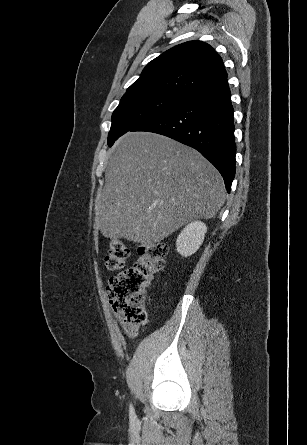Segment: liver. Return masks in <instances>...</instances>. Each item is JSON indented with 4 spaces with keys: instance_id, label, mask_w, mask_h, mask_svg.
I'll use <instances>...</instances> for the list:
<instances>
[{
    "instance_id": "1",
    "label": "liver",
    "mask_w": 307,
    "mask_h": 445,
    "mask_svg": "<svg viewBox=\"0 0 307 445\" xmlns=\"http://www.w3.org/2000/svg\"><path fill=\"white\" fill-rule=\"evenodd\" d=\"M223 178L198 150L155 132H126L113 148L95 200L106 239L155 247L225 202Z\"/></svg>"
}]
</instances>
